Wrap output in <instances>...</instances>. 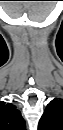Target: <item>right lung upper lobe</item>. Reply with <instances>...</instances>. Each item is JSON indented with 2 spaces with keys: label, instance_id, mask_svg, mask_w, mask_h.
Instances as JSON below:
<instances>
[{
  "label": "right lung upper lobe",
  "instance_id": "cb5924a9",
  "mask_svg": "<svg viewBox=\"0 0 63 130\" xmlns=\"http://www.w3.org/2000/svg\"><path fill=\"white\" fill-rule=\"evenodd\" d=\"M0 129L24 130L25 121L16 106L11 103L0 102Z\"/></svg>",
  "mask_w": 63,
  "mask_h": 130
}]
</instances>
